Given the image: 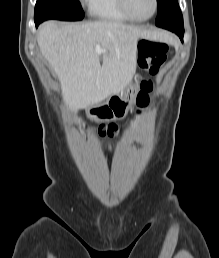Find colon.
I'll list each match as a JSON object with an SVG mask.
<instances>
[{
    "instance_id": "colon-1",
    "label": "colon",
    "mask_w": 219,
    "mask_h": 258,
    "mask_svg": "<svg viewBox=\"0 0 219 258\" xmlns=\"http://www.w3.org/2000/svg\"><path fill=\"white\" fill-rule=\"evenodd\" d=\"M139 64L155 74L165 64L167 60L168 46L162 42L151 40H141L138 45ZM153 89L151 81L141 83V91L137 97V105L144 107L149 102V94ZM98 133L101 137L113 138L119 132V127L115 123L101 124L98 127Z\"/></svg>"
}]
</instances>
